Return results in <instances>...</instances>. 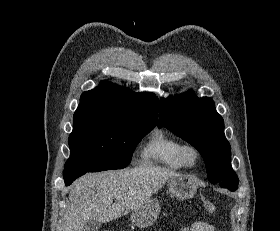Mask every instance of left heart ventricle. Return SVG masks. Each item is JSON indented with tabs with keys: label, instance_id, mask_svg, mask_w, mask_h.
<instances>
[{
	"label": "left heart ventricle",
	"instance_id": "b2bd125f",
	"mask_svg": "<svg viewBox=\"0 0 280 231\" xmlns=\"http://www.w3.org/2000/svg\"><path fill=\"white\" fill-rule=\"evenodd\" d=\"M184 159L188 166L195 167L198 162V157L193 149H187L184 153Z\"/></svg>",
	"mask_w": 280,
	"mask_h": 231
}]
</instances>
